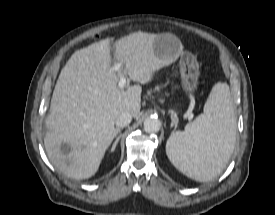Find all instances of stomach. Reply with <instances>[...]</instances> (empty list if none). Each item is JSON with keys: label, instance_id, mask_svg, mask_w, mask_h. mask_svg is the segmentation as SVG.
I'll return each mask as SVG.
<instances>
[{"label": "stomach", "instance_id": "0dacf381", "mask_svg": "<svg viewBox=\"0 0 275 215\" xmlns=\"http://www.w3.org/2000/svg\"><path fill=\"white\" fill-rule=\"evenodd\" d=\"M153 49L160 58L167 57L172 60L181 57L179 66L182 88L186 93H193L199 78V64L196 57L183 52L180 40L170 33L159 34L153 43Z\"/></svg>", "mask_w": 275, "mask_h": 215}]
</instances>
